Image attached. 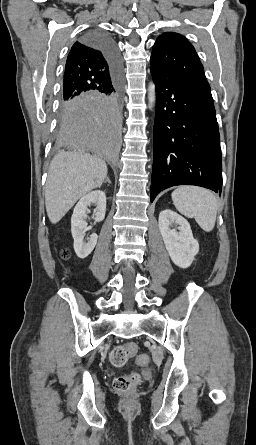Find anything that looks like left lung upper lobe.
Masks as SVG:
<instances>
[{
	"instance_id": "5c2ea615",
	"label": "left lung upper lobe",
	"mask_w": 256,
	"mask_h": 445,
	"mask_svg": "<svg viewBox=\"0 0 256 445\" xmlns=\"http://www.w3.org/2000/svg\"><path fill=\"white\" fill-rule=\"evenodd\" d=\"M150 63L155 70L174 73L195 85L210 89L194 47L178 33L166 32L157 38Z\"/></svg>"
}]
</instances>
